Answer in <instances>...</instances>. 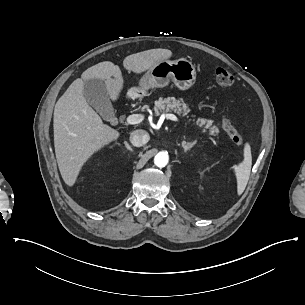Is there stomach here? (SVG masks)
<instances>
[{
    "instance_id": "1",
    "label": "stomach",
    "mask_w": 305,
    "mask_h": 305,
    "mask_svg": "<svg viewBox=\"0 0 305 305\" xmlns=\"http://www.w3.org/2000/svg\"><path fill=\"white\" fill-rule=\"evenodd\" d=\"M170 80L181 90L189 89L196 80L195 66L185 58L161 60L140 79V87L134 88L132 97H136V93L144 95L150 88L165 87Z\"/></svg>"
}]
</instances>
